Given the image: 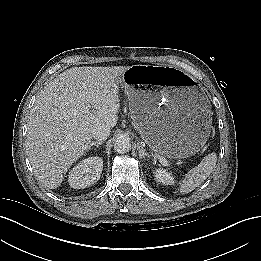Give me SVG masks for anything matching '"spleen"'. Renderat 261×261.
I'll return each mask as SVG.
<instances>
[{
	"label": "spleen",
	"mask_w": 261,
	"mask_h": 261,
	"mask_svg": "<svg viewBox=\"0 0 261 261\" xmlns=\"http://www.w3.org/2000/svg\"><path fill=\"white\" fill-rule=\"evenodd\" d=\"M216 162V153H210L205 156L197 167L189 170L188 173L185 174V178L180 182L179 188L175 193L180 192L181 194H186L199 187L212 173Z\"/></svg>",
	"instance_id": "1"
}]
</instances>
